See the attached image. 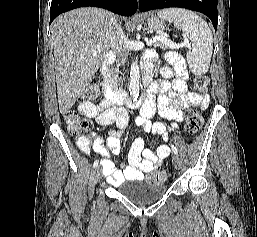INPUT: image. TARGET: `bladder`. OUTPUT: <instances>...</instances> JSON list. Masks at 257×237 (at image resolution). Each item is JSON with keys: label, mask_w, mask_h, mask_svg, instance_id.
<instances>
[{"label": "bladder", "mask_w": 257, "mask_h": 237, "mask_svg": "<svg viewBox=\"0 0 257 237\" xmlns=\"http://www.w3.org/2000/svg\"><path fill=\"white\" fill-rule=\"evenodd\" d=\"M167 190L164 182L150 183L132 180L121 190V194L138 206H147L156 202Z\"/></svg>", "instance_id": "bladder-1"}]
</instances>
